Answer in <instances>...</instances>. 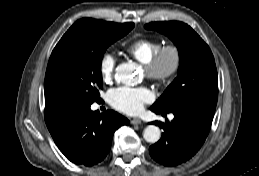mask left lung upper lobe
I'll list each match as a JSON object with an SVG mask.
<instances>
[{
    "mask_svg": "<svg viewBox=\"0 0 259 176\" xmlns=\"http://www.w3.org/2000/svg\"><path fill=\"white\" fill-rule=\"evenodd\" d=\"M145 28L167 35L178 47L180 57L177 78L151 108L168 113L194 106L215 112L218 75L209 46L190 26L179 21L149 23Z\"/></svg>",
    "mask_w": 259,
    "mask_h": 176,
    "instance_id": "1",
    "label": "left lung upper lobe"
}]
</instances>
